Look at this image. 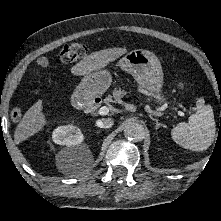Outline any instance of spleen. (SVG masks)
<instances>
[{"instance_id":"obj_1","label":"spleen","mask_w":221,"mask_h":221,"mask_svg":"<svg viewBox=\"0 0 221 221\" xmlns=\"http://www.w3.org/2000/svg\"><path fill=\"white\" fill-rule=\"evenodd\" d=\"M216 128L213 109L204 105V99L197 101L195 114L189 121L180 122L172 129V139L180 146L192 151L206 150L215 138Z\"/></svg>"}]
</instances>
